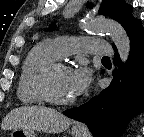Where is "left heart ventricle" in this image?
Returning a JSON list of instances; mask_svg holds the SVG:
<instances>
[{
	"mask_svg": "<svg viewBox=\"0 0 144 137\" xmlns=\"http://www.w3.org/2000/svg\"><path fill=\"white\" fill-rule=\"evenodd\" d=\"M71 70L67 68L57 69L51 76L50 89L54 96L60 99L74 97L70 89Z\"/></svg>",
	"mask_w": 144,
	"mask_h": 137,
	"instance_id": "b2bd125f",
	"label": "left heart ventricle"
}]
</instances>
